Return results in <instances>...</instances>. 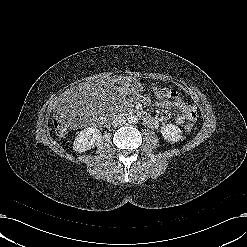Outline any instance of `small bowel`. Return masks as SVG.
Instances as JSON below:
<instances>
[{"instance_id":"c3829d8e","label":"small bowel","mask_w":247,"mask_h":247,"mask_svg":"<svg viewBox=\"0 0 247 247\" xmlns=\"http://www.w3.org/2000/svg\"><path fill=\"white\" fill-rule=\"evenodd\" d=\"M155 85L157 84H153L151 88ZM165 89L168 92L167 99L163 102L157 101V105L162 108V111L158 116L152 117V121L148 123V125L151 128H156L160 122H165L172 117L177 124H183L186 120L195 121L197 117L195 108L192 105L184 102L177 92L167 88ZM147 101L148 100L145 99V102ZM171 109L176 110L174 115L171 113Z\"/></svg>"}]
</instances>
